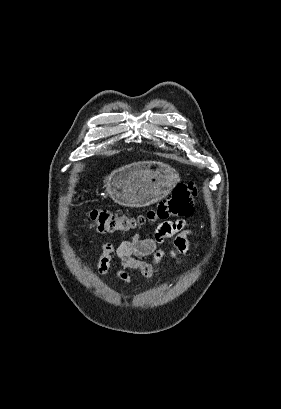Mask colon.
<instances>
[{
  "label": "colon",
  "instance_id": "colon-1",
  "mask_svg": "<svg viewBox=\"0 0 281 409\" xmlns=\"http://www.w3.org/2000/svg\"><path fill=\"white\" fill-rule=\"evenodd\" d=\"M196 195L195 185L179 184L167 198L138 216L113 210L86 209L84 217L99 233H130L146 224L192 214L196 206Z\"/></svg>",
  "mask_w": 281,
  "mask_h": 409
}]
</instances>
